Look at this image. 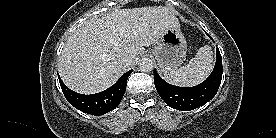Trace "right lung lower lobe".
<instances>
[{
	"label": "right lung lower lobe",
	"instance_id": "1",
	"mask_svg": "<svg viewBox=\"0 0 276 138\" xmlns=\"http://www.w3.org/2000/svg\"><path fill=\"white\" fill-rule=\"evenodd\" d=\"M132 70L123 74L110 88L91 95H83L66 87L59 75V82L65 98L75 108L91 115H103L115 109L121 102L126 90L127 79Z\"/></svg>",
	"mask_w": 276,
	"mask_h": 138
}]
</instances>
